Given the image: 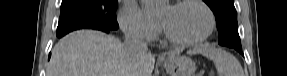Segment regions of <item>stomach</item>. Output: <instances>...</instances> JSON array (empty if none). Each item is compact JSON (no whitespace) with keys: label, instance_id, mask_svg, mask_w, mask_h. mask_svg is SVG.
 <instances>
[{"label":"stomach","instance_id":"1","mask_svg":"<svg viewBox=\"0 0 287 76\" xmlns=\"http://www.w3.org/2000/svg\"><path fill=\"white\" fill-rule=\"evenodd\" d=\"M164 67L169 76H192L196 70L195 63L188 57L169 56Z\"/></svg>","mask_w":287,"mask_h":76}]
</instances>
